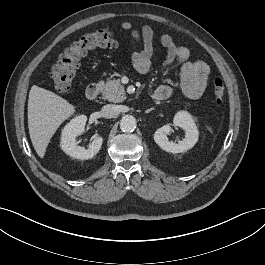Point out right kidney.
<instances>
[{"mask_svg":"<svg viewBox=\"0 0 265 265\" xmlns=\"http://www.w3.org/2000/svg\"><path fill=\"white\" fill-rule=\"evenodd\" d=\"M87 117L80 115L73 118L63 129L61 135V149L73 158L86 160L95 156L103 143L101 136L94 137L88 149L80 147L76 143V137L85 131Z\"/></svg>","mask_w":265,"mask_h":265,"instance_id":"right-kidney-1","label":"right kidney"}]
</instances>
